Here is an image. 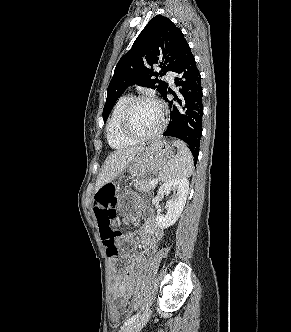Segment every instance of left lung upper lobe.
<instances>
[{"label": "left lung upper lobe", "instance_id": "5c2ea615", "mask_svg": "<svg viewBox=\"0 0 291 332\" xmlns=\"http://www.w3.org/2000/svg\"><path fill=\"white\" fill-rule=\"evenodd\" d=\"M187 45L183 33L170 19L161 15L152 18L114 70L107 89L103 120H107L115 102L129 85L150 87L163 96L168 84L158 76L174 71ZM157 65L161 72L153 71L152 67ZM199 145V142L193 144L192 152L199 150Z\"/></svg>", "mask_w": 291, "mask_h": 332}]
</instances>
